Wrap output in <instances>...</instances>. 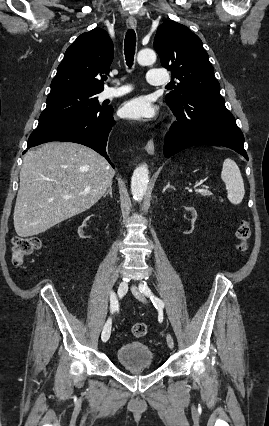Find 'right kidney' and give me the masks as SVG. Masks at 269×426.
<instances>
[{"label": "right kidney", "instance_id": "1", "mask_svg": "<svg viewBox=\"0 0 269 426\" xmlns=\"http://www.w3.org/2000/svg\"><path fill=\"white\" fill-rule=\"evenodd\" d=\"M91 216L92 217H95L96 216V213L95 212H92L91 213ZM91 221V217L90 216H87L86 218H85V220H84V222L82 223V225L78 228V234H79V236L81 237V238H92L94 235L91 233H87L85 236L83 235V228L86 226V222H90Z\"/></svg>", "mask_w": 269, "mask_h": 426}]
</instances>
